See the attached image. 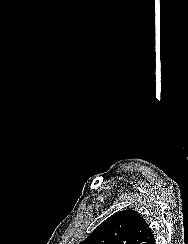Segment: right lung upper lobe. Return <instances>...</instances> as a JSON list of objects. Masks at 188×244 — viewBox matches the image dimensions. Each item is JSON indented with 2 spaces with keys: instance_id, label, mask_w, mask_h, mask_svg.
I'll list each match as a JSON object with an SVG mask.
<instances>
[{
  "instance_id": "cb5924a9",
  "label": "right lung upper lobe",
  "mask_w": 188,
  "mask_h": 244,
  "mask_svg": "<svg viewBox=\"0 0 188 244\" xmlns=\"http://www.w3.org/2000/svg\"><path fill=\"white\" fill-rule=\"evenodd\" d=\"M154 235L134 210L119 211L102 222L81 244H153Z\"/></svg>"
}]
</instances>
